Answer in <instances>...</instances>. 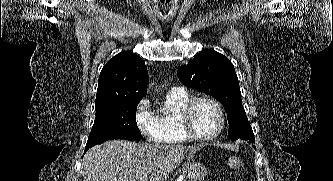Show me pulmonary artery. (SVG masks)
I'll use <instances>...</instances> for the list:
<instances>
[{"label": "pulmonary artery", "instance_id": "pulmonary-artery-1", "mask_svg": "<svg viewBox=\"0 0 333 181\" xmlns=\"http://www.w3.org/2000/svg\"><path fill=\"white\" fill-rule=\"evenodd\" d=\"M172 91H175V92H182L184 91L183 88L181 87H174Z\"/></svg>", "mask_w": 333, "mask_h": 181}]
</instances>
